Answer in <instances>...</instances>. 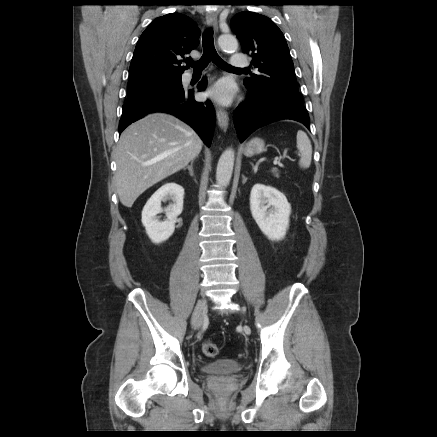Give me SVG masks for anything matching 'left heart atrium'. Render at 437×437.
Here are the masks:
<instances>
[{
	"instance_id": "obj_1",
	"label": "left heart atrium",
	"mask_w": 437,
	"mask_h": 437,
	"mask_svg": "<svg viewBox=\"0 0 437 437\" xmlns=\"http://www.w3.org/2000/svg\"><path fill=\"white\" fill-rule=\"evenodd\" d=\"M208 96L221 104H229L234 97V86L229 81H219L209 90Z\"/></svg>"
}]
</instances>
